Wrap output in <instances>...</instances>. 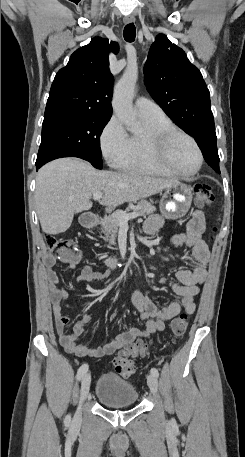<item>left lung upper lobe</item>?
<instances>
[{"label":"left lung upper lobe","mask_w":245,"mask_h":457,"mask_svg":"<svg viewBox=\"0 0 245 457\" xmlns=\"http://www.w3.org/2000/svg\"><path fill=\"white\" fill-rule=\"evenodd\" d=\"M144 83L156 103L195 140L215 129L209 90L200 71L164 34L150 47Z\"/></svg>","instance_id":"1"}]
</instances>
